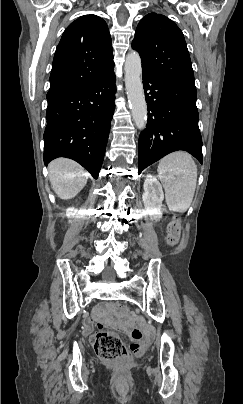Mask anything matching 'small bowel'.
<instances>
[{"instance_id":"small-bowel-1","label":"small bowel","mask_w":243,"mask_h":404,"mask_svg":"<svg viewBox=\"0 0 243 404\" xmlns=\"http://www.w3.org/2000/svg\"><path fill=\"white\" fill-rule=\"evenodd\" d=\"M93 323H94L93 320H90V321H87V322H86L85 327H84V331H85L86 333H90V332L92 331Z\"/></svg>"}]
</instances>
